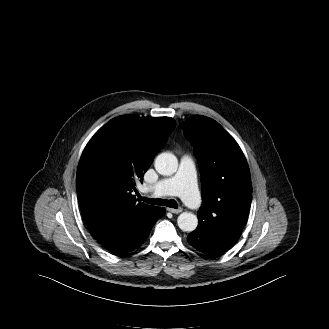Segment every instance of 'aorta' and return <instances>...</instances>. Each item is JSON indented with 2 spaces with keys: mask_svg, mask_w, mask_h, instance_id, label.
<instances>
[{
  "mask_svg": "<svg viewBox=\"0 0 329 329\" xmlns=\"http://www.w3.org/2000/svg\"><path fill=\"white\" fill-rule=\"evenodd\" d=\"M156 171L164 176H171L177 171L178 160L169 152L159 154L154 163ZM178 227L184 232H192L197 228V216L190 212H183L177 218Z\"/></svg>",
  "mask_w": 329,
  "mask_h": 329,
  "instance_id": "aorta-1",
  "label": "aorta"
}]
</instances>
